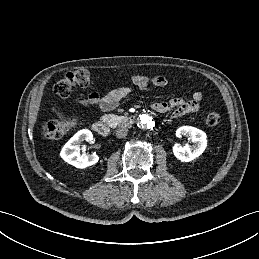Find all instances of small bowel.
I'll use <instances>...</instances> for the list:
<instances>
[{
	"instance_id": "c3829d8e",
	"label": "small bowel",
	"mask_w": 259,
	"mask_h": 259,
	"mask_svg": "<svg viewBox=\"0 0 259 259\" xmlns=\"http://www.w3.org/2000/svg\"><path fill=\"white\" fill-rule=\"evenodd\" d=\"M131 81L135 87L142 91H148L152 87L160 88L167 84V79L162 75H154L149 77L144 74H135L131 77ZM130 93L128 87H118L111 90L104 96H100L97 92H90L84 97L75 99L74 103L80 106L96 105L103 111H111L118 107L120 102ZM203 95L201 92H194L189 99L172 98L169 101H156L151 107L158 113H166L174 109L173 117L178 118L184 115L195 114L199 110V104ZM54 113L61 119L64 118L65 112L59 109ZM75 117L72 121H75Z\"/></svg>"
}]
</instances>
